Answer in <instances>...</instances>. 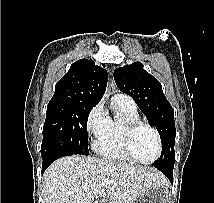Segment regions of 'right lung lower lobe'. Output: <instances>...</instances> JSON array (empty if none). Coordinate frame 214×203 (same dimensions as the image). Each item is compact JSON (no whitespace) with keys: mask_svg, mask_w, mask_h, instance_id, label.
<instances>
[{"mask_svg":"<svg viewBox=\"0 0 214 203\" xmlns=\"http://www.w3.org/2000/svg\"><path fill=\"white\" fill-rule=\"evenodd\" d=\"M63 157L62 155H49L47 157L42 158L43 159V163H42V174L44 173V171L48 168V166L55 161L56 159Z\"/></svg>","mask_w":214,"mask_h":203,"instance_id":"1","label":"right lung lower lobe"}]
</instances>
